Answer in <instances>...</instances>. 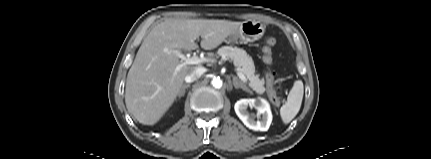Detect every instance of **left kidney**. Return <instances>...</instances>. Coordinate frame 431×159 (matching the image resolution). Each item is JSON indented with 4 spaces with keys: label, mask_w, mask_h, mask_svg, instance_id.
Returning <instances> with one entry per match:
<instances>
[{
    "label": "left kidney",
    "mask_w": 431,
    "mask_h": 159,
    "mask_svg": "<svg viewBox=\"0 0 431 159\" xmlns=\"http://www.w3.org/2000/svg\"><path fill=\"white\" fill-rule=\"evenodd\" d=\"M248 106L257 110L259 117L257 121L255 120V116L251 115L247 111ZM234 109L239 119L249 129L255 131H267L269 129L272 122V113L270 110V105L265 99H240L235 103Z\"/></svg>",
    "instance_id": "1"
}]
</instances>
